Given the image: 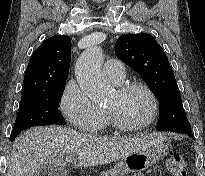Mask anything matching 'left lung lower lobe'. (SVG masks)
Here are the masks:
<instances>
[{"label":"left lung lower lobe","mask_w":205,"mask_h":176,"mask_svg":"<svg viewBox=\"0 0 205 176\" xmlns=\"http://www.w3.org/2000/svg\"><path fill=\"white\" fill-rule=\"evenodd\" d=\"M183 134H186V135H188V136H190L191 138L194 139V135L192 134L191 131L184 132Z\"/></svg>","instance_id":"obj_1"}]
</instances>
